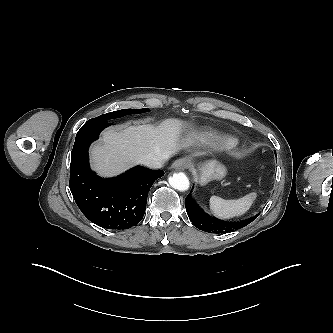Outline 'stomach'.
<instances>
[{
    "instance_id": "stomach-1",
    "label": "stomach",
    "mask_w": 333,
    "mask_h": 333,
    "mask_svg": "<svg viewBox=\"0 0 333 333\" xmlns=\"http://www.w3.org/2000/svg\"><path fill=\"white\" fill-rule=\"evenodd\" d=\"M199 170L202 185L211 180H221L227 173L226 168L216 160L205 162L199 167Z\"/></svg>"
}]
</instances>
